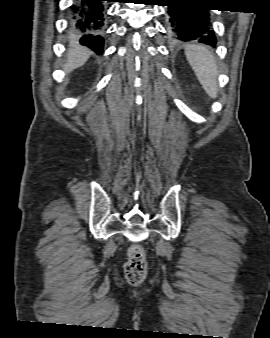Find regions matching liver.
I'll return each mask as SVG.
<instances>
[{
	"mask_svg": "<svg viewBox=\"0 0 270 338\" xmlns=\"http://www.w3.org/2000/svg\"><path fill=\"white\" fill-rule=\"evenodd\" d=\"M91 53V50L86 47L72 46L68 51V59L63 67L64 70L69 73L74 69L81 67L86 63Z\"/></svg>",
	"mask_w": 270,
	"mask_h": 338,
	"instance_id": "obj_1",
	"label": "liver"
}]
</instances>
